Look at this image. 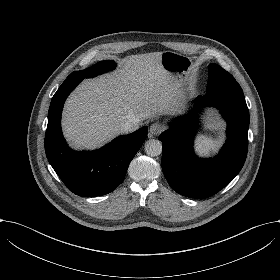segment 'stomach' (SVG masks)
Returning a JSON list of instances; mask_svg holds the SVG:
<instances>
[{
    "mask_svg": "<svg viewBox=\"0 0 280 280\" xmlns=\"http://www.w3.org/2000/svg\"><path fill=\"white\" fill-rule=\"evenodd\" d=\"M161 64L171 76L174 82L179 84V89L184 92L182 102L184 103L192 91L191 86L195 81L192 59L173 51H164L161 54Z\"/></svg>",
    "mask_w": 280,
    "mask_h": 280,
    "instance_id": "1",
    "label": "stomach"
}]
</instances>
